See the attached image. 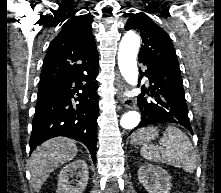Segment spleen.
Masks as SVG:
<instances>
[{"mask_svg": "<svg viewBox=\"0 0 221 193\" xmlns=\"http://www.w3.org/2000/svg\"><path fill=\"white\" fill-rule=\"evenodd\" d=\"M141 156L149 161L161 162L192 173L196 157L188 136L175 126H168L160 139V146L144 144Z\"/></svg>", "mask_w": 221, "mask_h": 193, "instance_id": "3e777b00", "label": "spleen"}]
</instances>
